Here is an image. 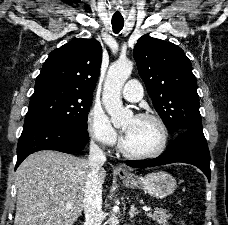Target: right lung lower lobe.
I'll return each mask as SVG.
<instances>
[{"mask_svg": "<svg viewBox=\"0 0 228 225\" xmlns=\"http://www.w3.org/2000/svg\"><path fill=\"white\" fill-rule=\"evenodd\" d=\"M87 129L57 119H37L26 121L17 146V163L31 153L40 150H56L76 153L84 149L88 142Z\"/></svg>", "mask_w": 228, "mask_h": 225, "instance_id": "1", "label": "right lung lower lobe"}]
</instances>
